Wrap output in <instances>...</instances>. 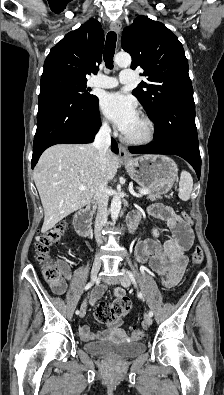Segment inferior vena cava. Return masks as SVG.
<instances>
[{
	"label": "inferior vena cava",
	"instance_id": "inferior-vena-cava-1",
	"mask_svg": "<svg viewBox=\"0 0 224 395\" xmlns=\"http://www.w3.org/2000/svg\"><path fill=\"white\" fill-rule=\"evenodd\" d=\"M111 130L107 122L102 123L98 133L95 136L94 147L97 149L99 153V167L102 176V180L98 185V188L95 191L94 199L97 204V215L95 218V239L98 245L103 243L101 230L107 223V205H108V187L106 176V168H107V154L110 151L109 147L111 144L110 137Z\"/></svg>",
	"mask_w": 224,
	"mask_h": 395
}]
</instances>
